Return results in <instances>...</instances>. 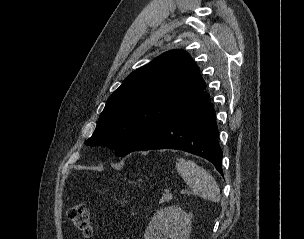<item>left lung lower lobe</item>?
<instances>
[{
    "mask_svg": "<svg viewBox=\"0 0 304 239\" xmlns=\"http://www.w3.org/2000/svg\"><path fill=\"white\" fill-rule=\"evenodd\" d=\"M151 149H176L201 156L222 174L215 110L205 91L131 152Z\"/></svg>",
    "mask_w": 304,
    "mask_h": 239,
    "instance_id": "obj_1",
    "label": "left lung lower lobe"
}]
</instances>
